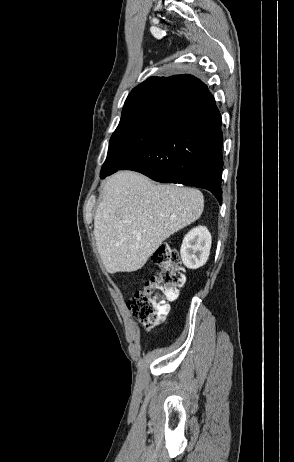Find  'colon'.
Returning a JSON list of instances; mask_svg holds the SVG:
<instances>
[{"label": "colon", "instance_id": "5ec220e1", "mask_svg": "<svg viewBox=\"0 0 294 462\" xmlns=\"http://www.w3.org/2000/svg\"><path fill=\"white\" fill-rule=\"evenodd\" d=\"M152 259L156 266L154 274L127 303L134 319L148 326L164 320L168 312L166 301L175 300L185 282L184 268L174 249L159 246Z\"/></svg>", "mask_w": 294, "mask_h": 462}]
</instances>
